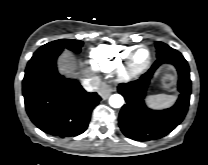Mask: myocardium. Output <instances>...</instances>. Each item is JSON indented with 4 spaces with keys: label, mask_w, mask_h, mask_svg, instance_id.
<instances>
[{
    "label": "myocardium",
    "mask_w": 208,
    "mask_h": 165,
    "mask_svg": "<svg viewBox=\"0 0 208 165\" xmlns=\"http://www.w3.org/2000/svg\"><path fill=\"white\" fill-rule=\"evenodd\" d=\"M141 50H146L148 52V57L143 63L137 62V54ZM152 62V52L151 50L145 45L137 46L127 58V64L124 70V75L126 78H134L144 71H146Z\"/></svg>",
    "instance_id": "obj_1"
}]
</instances>
